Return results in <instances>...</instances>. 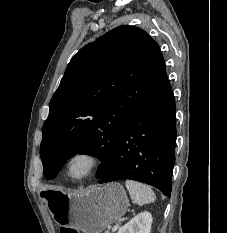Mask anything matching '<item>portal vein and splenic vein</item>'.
Wrapping results in <instances>:
<instances>
[{
    "label": "portal vein and splenic vein",
    "instance_id": "obj_1",
    "mask_svg": "<svg viewBox=\"0 0 227 233\" xmlns=\"http://www.w3.org/2000/svg\"><path fill=\"white\" fill-rule=\"evenodd\" d=\"M122 221L123 219L119 220V222L112 227V232H115L118 228H120Z\"/></svg>",
    "mask_w": 227,
    "mask_h": 233
}]
</instances>
